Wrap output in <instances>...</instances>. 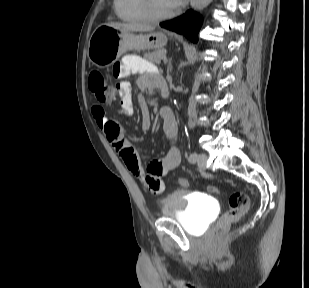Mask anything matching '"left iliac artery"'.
Returning a JSON list of instances; mask_svg holds the SVG:
<instances>
[{"label":"left iliac artery","mask_w":309,"mask_h":288,"mask_svg":"<svg viewBox=\"0 0 309 288\" xmlns=\"http://www.w3.org/2000/svg\"><path fill=\"white\" fill-rule=\"evenodd\" d=\"M197 157H198V156H197V153L194 152V153L190 154L188 160H189V162H191V163H195V162L197 161Z\"/></svg>","instance_id":"obj_1"}]
</instances>
